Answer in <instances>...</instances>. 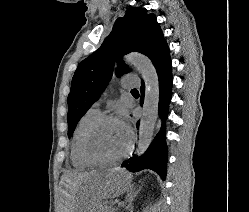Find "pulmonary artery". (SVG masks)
Wrapping results in <instances>:
<instances>
[{
    "label": "pulmonary artery",
    "mask_w": 249,
    "mask_h": 212,
    "mask_svg": "<svg viewBox=\"0 0 249 212\" xmlns=\"http://www.w3.org/2000/svg\"><path fill=\"white\" fill-rule=\"evenodd\" d=\"M121 86L125 89H132L134 87L132 84L126 83V82H122ZM100 104H101V102L97 101L94 103L93 107L98 109Z\"/></svg>",
    "instance_id": "e3ab8cb5"
}]
</instances>
